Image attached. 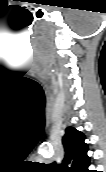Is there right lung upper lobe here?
<instances>
[{"mask_svg":"<svg viewBox=\"0 0 106 172\" xmlns=\"http://www.w3.org/2000/svg\"><path fill=\"white\" fill-rule=\"evenodd\" d=\"M63 136L65 156L61 165H55L57 172H90V158L87 156L88 146L85 136L73 127H67Z\"/></svg>","mask_w":106,"mask_h":172,"instance_id":"obj_1","label":"right lung upper lobe"}]
</instances>
